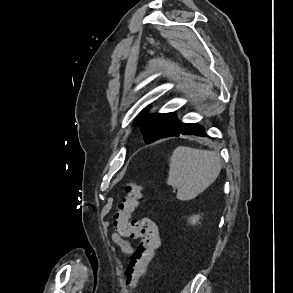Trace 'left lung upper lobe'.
I'll return each mask as SVG.
<instances>
[{
	"instance_id": "5c2ea615",
	"label": "left lung upper lobe",
	"mask_w": 293,
	"mask_h": 293,
	"mask_svg": "<svg viewBox=\"0 0 293 293\" xmlns=\"http://www.w3.org/2000/svg\"><path fill=\"white\" fill-rule=\"evenodd\" d=\"M147 109V108H146ZM144 109L135 124H141V132L146 143H151L164 137L179 123L173 113L144 115Z\"/></svg>"
}]
</instances>
